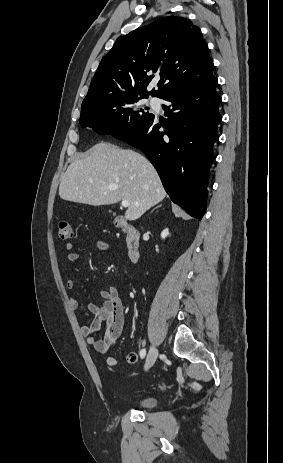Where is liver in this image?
Listing matches in <instances>:
<instances>
[{
    "instance_id": "liver-1",
    "label": "liver",
    "mask_w": 283,
    "mask_h": 463,
    "mask_svg": "<svg viewBox=\"0 0 283 463\" xmlns=\"http://www.w3.org/2000/svg\"><path fill=\"white\" fill-rule=\"evenodd\" d=\"M59 196L93 206L127 200L125 218L134 221L161 202L166 192L143 155L101 142L69 165L61 178Z\"/></svg>"
}]
</instances>
